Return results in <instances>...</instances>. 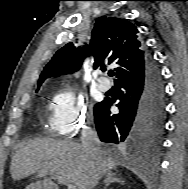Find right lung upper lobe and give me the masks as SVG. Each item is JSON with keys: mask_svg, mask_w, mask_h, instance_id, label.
I'll use <instances>...</instances> for the list:
<instances>
[{"mask_svg": "<svg viewBox=\"0 0 188 189\" xmlns=\"http://www.w3.org/2000/svg\"><path fill=\"white\" fill-rule=\"evenodd\" d=\"M90 47L85 45L76 48L68 43L58 50L42 71L38 88L47 78L74 72L90 52L94 56L95 69L101 66L100 69L105 71L104 61L117 65L115 84L142 72L148 56L138 38L137 28L120 18H98L92 31Z\"/></svg>", "mask_w": 188, "mask_h": 189, "instance_id": "cb5924a9", "label": "right lung upper lobe"}]
</instances>
